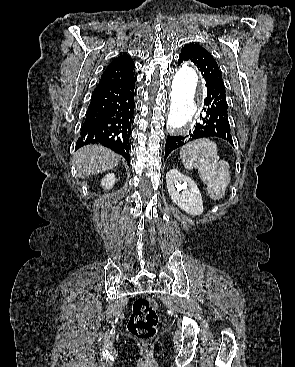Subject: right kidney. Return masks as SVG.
<instances>
[{
  "instance_id": "obj_1",
  "label": "right kidney",
  "mask_w": 295,
  "mask_h": 367,
  "mask_svg": "<svg viewBox=\"0 0 295 367\" xmlns=\"http://www.w3.org/2000/svg\"><path fill=\"white\" fill-rule=\"evenodd\" d=\"M116 182L115 174L109 173L101 180V186L104 189H111Z\"/></svg>"
}]
</instances>
